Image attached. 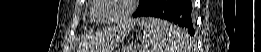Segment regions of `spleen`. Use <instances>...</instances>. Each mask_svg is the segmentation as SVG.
<instances>
[{"label": "spleen", "instance_id": "3e777b00", "mask_svg": "<svg viewBox=\"0 0 261 52\" xmlns=\"http://www.w3.org/2000/svg\"><path fill=\"white\" fill-rule=\"evenodd\" d=\"M145 45L142 52H190L193 42L184 29L153 18L140 20Z\"/></svg>", "mask_w": 261, "mask_h": 52}]
</instances>
